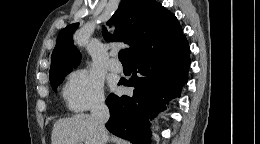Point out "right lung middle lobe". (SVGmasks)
<instances>
[{
	"label": "right lung middle lobe",
	"instance_id": "dd1d6c3e",
	"mask_svg": "<svg viewBox=\"0 0 260 144\" xmlns=\"http://www.w3.org/2000/svg\"><path fill=\"white\" fill-rule=\"evenodd\" d=\"M71 71H72V69H67V70L59 71V72L49 75L52 88L54 90H56L57 86L62 82L64 77Z\"/></svg>",
	"mask_w": 260,
	"mask_h": 144
}]
</instances>
